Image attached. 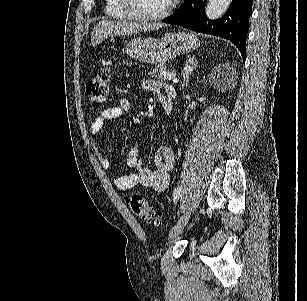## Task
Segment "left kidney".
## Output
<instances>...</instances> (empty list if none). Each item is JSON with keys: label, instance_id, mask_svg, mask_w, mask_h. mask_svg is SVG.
<instances>
[{"label": "left kidney", "instance_id": "5707ae66", "mask_svg": "<svg viewBox=\"0 0 307 301\" xmlns=\"http://www.w3.org/2000/svg\"><path fill=\"white\" fill-rule=\"evenodd\" d=\"M234 74H236V70L231 64H218V66H215L212 70L210 82L213 84L214 88H220V90H224V86L231 88ZM218 76H224L223 80L222 78L219 80Z\"/></svg>", "mask_w": 307, "mask_h": 301}]
</instances>
